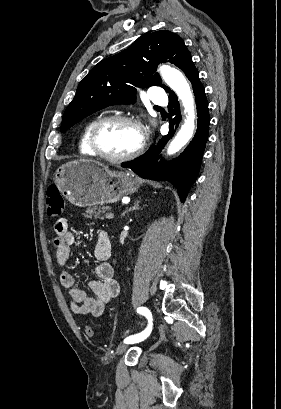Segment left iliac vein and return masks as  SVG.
Segmentation results:
<instances>
[{"label": "left iliac vein", "instance_id": "4c4485c4", "mask_svg": "<svg viewBox=\"0 0 281 409\" xmlns=\"http://www.w3.org/2000/svg\"><path fill=\"white\" fill-rule=\"evenodd\" d=\"M128 346H129L128 343L125 342L120 344L117 348L116 354L117 355L123 354L127 350Z\"/></svg>", "mask_w": 281, "mask_h": 409}]
</instances>
